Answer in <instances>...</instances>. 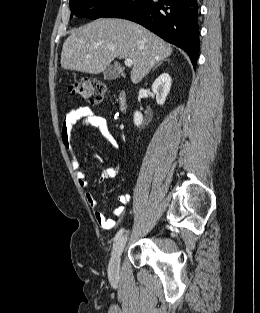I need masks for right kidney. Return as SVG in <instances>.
<instances>
[{
    "label": "right kidney",
    "instance_id": "ca27d5eb",
    "mask_svg": "<svg viewBox=\"0 0 260 313\" xmlns=\"http://www.w3.org/2000/svg\"><path fill=\"white\" fill-rule=\"evenodd\" d=\"M171 77L168 73L161 74L152 84V91L156 95V101L163 105L171 87ZM134 124L139 127L143 122V115L136 111L133 118Z\"/></svg>",
    "mask_w": 260,
    "mask_h": 313
}]
</instances>
